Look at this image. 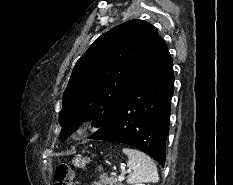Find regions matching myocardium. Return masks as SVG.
I'll list each match as a JSON object with an SVG mask.
<instances>
[{
	"mask_svg": "<svg viewBox=\"0 0 233 185\" xmlns=\"http://www.w3.org/2000/svg\"><path fill=\"white\" fill-rule=\"evenodd\" d=\"M90 128V124L88 121H80L76 124L75 128H74V133L77 135V136H84L88 130Z\"/></svg>",
	"mask_w": 233,
	"mask_h": 185,
	"instance_id": "obj_1",
	"label": "myocardium"
}]
</instances>
